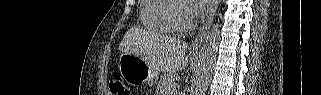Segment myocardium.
<instances>
[{
  "instance_id": "f54148a6",
  "label": "myocardium",
  "mask_w": 321,
  "mask_h": 95,
  "mask_svg": "<svg viewBox=\"0 0 321 95\" xmlns=\"http://www.w3.org/2000/svg\"><path fill=\"white\" fill-rule=\"evenodd\" d=\"M186 11L180 1H175L169 11V21L175 31L188 32L193 29L194 21L190 17H185L183 12Z\"/></svg>"
}]
</instances>
